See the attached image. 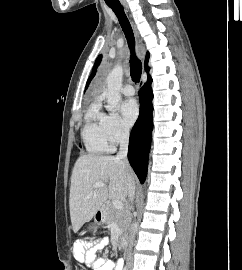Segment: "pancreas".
<instances>
[{
  "instance_id": "1",
  "label": "pancreas",
  "mask_w": 242,
  "mask_h": 270,
  "mask_svg": "<svg viewBox=\"0 0 242 270\" xmlns=\"http://www.w3.org/2000/svg\"><path fill=\"white\" fill-rule=\"evenodd\" d=\"M106 223H116L121 231L125 232L129 225V217L126 210H117L112 203L105 206Z\"/></svg>"
}]
</instances>
